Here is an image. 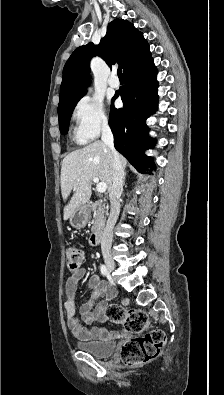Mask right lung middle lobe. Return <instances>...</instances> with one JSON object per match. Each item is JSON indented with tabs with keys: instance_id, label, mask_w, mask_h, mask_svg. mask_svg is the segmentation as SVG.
<instances>
[{
	"instance_id": "1",
	"label": "right lung middle lobe",
	"mask_w": 224,
	"mask_h": 395,
	"mask_svg": "<svg viewBox=\"0 0 224 395\" xmlns=\"http://www.w3.org/2000/svg\"><path fill=\"white\" fill-rule=\"evenodd\" d=\"M84 94L79 95L70 101L66 106L58 109V118H59V128L61 134H66L68 132L69 122L72 115V112L79 101L80 98L83 97Z\"/></svg>"
}]
</instances>
